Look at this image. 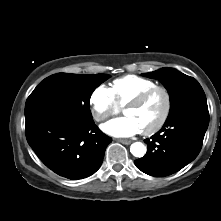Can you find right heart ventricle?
<instances>
[{"label":"right heart ventricle","mask_w":221,"mask_h":221,"mask_svg":"<svg viewBox=\"0 0 221 221\" xmlns=\"http://www.w3.org/2000/svg\"><path fill=\"white\" fill-rule=\"evenodd\" d=\"M155 85L156 83L151 79L126 75L114 80L111 90L117 104L124 107L133 98Z\"/></svg>","instance_id":"right-heart-ventricle-1"}]
</instances>
